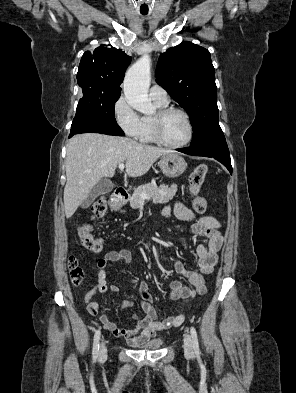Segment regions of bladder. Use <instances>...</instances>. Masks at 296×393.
I'll return each instance as SVG.
<instances>
[{"label": "bladder", "mask_w": 296, "mask_h": 393, "mask_svg": "<svg viewBox=\"0 0 296 393\" xmlns=\"http://www.w3.org/2000/svg\"><path fill=\"white\" fill-rule=\"evenodd\" d=\"M163 344H164V340L158 338V339H153V340L147 341L146 343L141 344L140 348L147 349V350H157Z\"/></svg>", "instance_id": "1"}]
</instances>
